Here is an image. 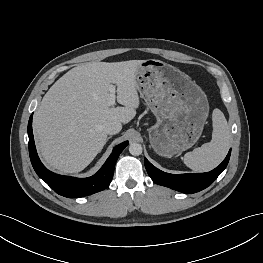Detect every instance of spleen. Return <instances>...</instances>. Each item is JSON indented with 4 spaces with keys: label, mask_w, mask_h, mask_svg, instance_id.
Instances as JSON below:
<instances>
[{
    "label": "spleen",
    "mask_w": 263,
    "mask_h": 263,
    "mask_svg": "<svg viewBox=\"0 0 263 263\" xmlns=\"http://www.w3.org/2000/svg\"><path fill=\"white\" fill-rule=\"evenodd\" d=\"M212 140L184 155L183 161L194 171L207 172L217 167L225 158L230 146V130L220 109L212 113Z\"/></svg>",
    "instance_id": "3e777b00"
}]
</instances>
